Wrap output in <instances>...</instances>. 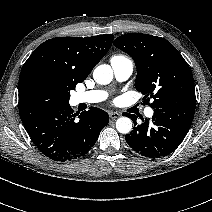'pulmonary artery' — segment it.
<instances>
[{"mask_svg": "<svg viewBox=\"0 0 212 212\" xmlns=\"http://www.w3.org/2000/svg\"><path fill=\"white\" fill-rule=\"evenodd\" d=\"M111 66L114 72V75L118 81L127 80L133 73L134 64L132 60L126 57L112 58ZM107 93L102 90H93L88 92L76 93L74 94L72 100L75 104L80 103H98L105 100ZM144 114L147 117H152L154 112L153 109L147 107L144 110Z\"/></svg>", "mask_w": 212, "mask_h": 212, "instance_id": "1", "label": "pulmonary artery"}]
</instances>
